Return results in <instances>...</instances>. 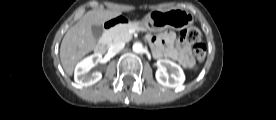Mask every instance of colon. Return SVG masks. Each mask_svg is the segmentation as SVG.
I'll use <instances>...</instances> for the list:
<instances>
[{
	"label": "colon",
	"instance_id": "1",
	"mask_svg": "<svg viewBox=\"0 0 276 120\" xmlns=\"http://www.w3.org/2000/svg\"><path fill=\"white\" fill-rule=\"evenodd\" d=\"M181 38L187 43L193 44V57L197 63H201L206 56V46L201 41V33L198 28L192 26L181 32Z\"/></svg>",
	"mask_w": 276,
	"mask_h": 120
}]
</instances>
